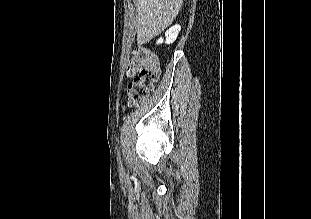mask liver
I'll return each instance as SVG.
<instances>
[{"mask_svg": "<svg viewBox=\"0 0 311 219\" xmlns=\"http://www.w3.org/2000/svg\"><path fill=\"white\" fill-rule=\"evenodd\" d=\"M137 7V43L142 45L172 24L183 0H134Z\"/></svg>", "mask_w": 311, "mask_h": 219, "instance_id": "1", "label": "liver"}]
</instances>
